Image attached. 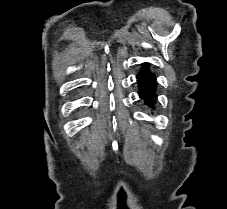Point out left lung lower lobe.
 Returning <instances> with one entry per match:
<instances>
[{
  "instance_id": "left-lung-lower-lobe-1",
  "label": "left lung lower lobe",
  "mask_w": 227,
  "mask_h": 209,
  "mask_svg": "<svg viewBox=\"0 0 227 209\" xmlns=\"http://www.w3.org/2000/svg\"><path fill=\"white\" fill-rule=\"evenodd\" d=\"M138 84L141 89L139 90L140 97L145 101L149 107H153L155 104V90L156 79L150 72L149 65L144 64L143 69L137 75Z\"/></svg>"
}]
</instances>
